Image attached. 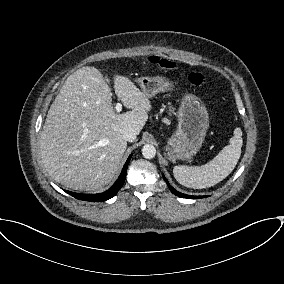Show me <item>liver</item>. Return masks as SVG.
Here are the masks:
<instances>
[{
    "instance_id": "1",
    "label": "liver",
    "mask_w": 284,
    "mask_h": 284,
    "mask_svg": "<svg viewBox=\"0 0 284 284\" xmlns=\"http://www.w3.org/2000/svg\"><path fill=\"white\" fill-rule=\"evenodd\" d=\"M113 82L115 94L130 111L115 112L111 88L101 72L89 66L66 79L50 106L39 146L56 182L95 192L118 177L127 147L122 131L132 127L139 134L152 105L127 77L114 75Z\"/></svg>"
}]
</instances>
